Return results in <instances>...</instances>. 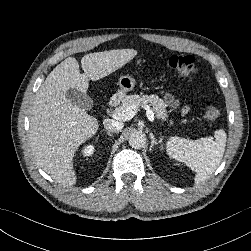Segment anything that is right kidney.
<instances>
[{
	"mask_svg": "<svg viewBox=\"0 0 251 251\" xmlns=\"http://www.w3.org/2000/svg\"><path fill=\"white\" fill-rule=\"evenodd\" d=\"M94 152V146L93 145H87L84 150H82V153L84 156H91Z\"/></svg>",
	"mask_w": 251,
	"mask_h": 251,
	"instance_id": "obj_1",
	"label": "right kidney"
}]
</instances>
